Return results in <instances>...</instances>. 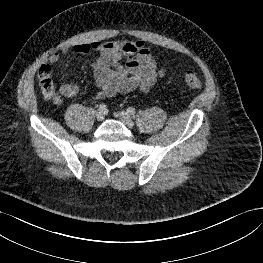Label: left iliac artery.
<instances>
[{
	"instance_id": "obj_1",
	"label": "left iliac artery",
	"mask_w": 263,
	"mask_h": 263,
	"mask_svg": "<svg viewBox=\"0 0 263 263\" xmlns=\"http://www.w3.org/2000/svg\"><path fill=\"white\" fill-rule=\"evenodd\" d=\"M127 112L130 113V114H132V115H134V114H135V109H134L133 107H129V108L127 109Z\"/></svg>"
}]
</instances>
